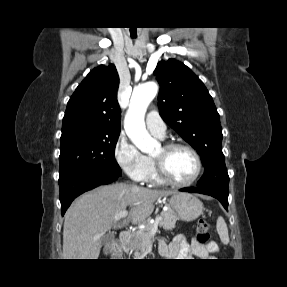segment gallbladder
<instances>
[{
	"label": "gallbladder",
	"mask_w": 287,
	"mask_h": 287,
	"mask_svg": "<svg viewBox=\"0 0 287 287\" xmlns=\"http://www.w3.org/2000/svg\"><path fill=\"white\" fill-rule=\"evenodd\" d=\"M114 239V234L109 232L103 235L101 239V245H106Z\"/></svg>",
	"instance_id": "gallbladder-1"
}]
</instances>
